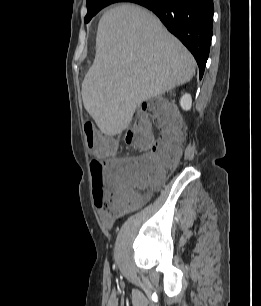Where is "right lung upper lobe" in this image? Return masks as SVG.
Here are the masks:
<instances>
[{"instance_id": "1", "label": "right lung upper lobe", "mask_w": 261, "mask_h": 306, "mask_svg": "<svg viewBox=\"0 0 261 306\" xmlns=\"http://www.w3.org/2000/svg\"><path fill=\"white\" fill-rule=\"evenodd\" d=\"M115 1H118V2H132L133 0H115Z\"/></svg>"}]
</instances>
